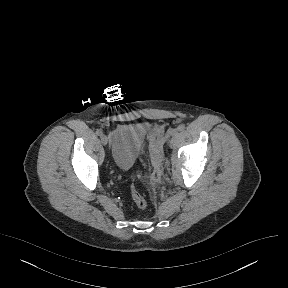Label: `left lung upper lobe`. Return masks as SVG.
Masks as SVG:
<instances>
[{"mask_svg": "<svg viewBox=\"0 0 288 288\" xmlns=\"http://www.w3.org/2000/svg\"><path fill=\"white\" fill-rule=\"evenodd\" d=\"M256 217H257V215L251 216V217L249 218V220H248V224L253 223V222L255 221Z\"/></svg>", "mask_w": 288, "mask_h": 288, "instance_id": "obj_1", "label": "left lung upper lobe"}]
</instances>
